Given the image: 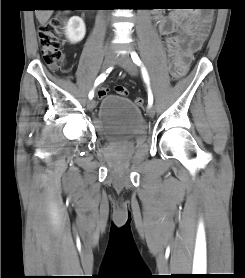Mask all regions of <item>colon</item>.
I'll use <instances>...</instances> for the list:
<instances>
[{"label": "colon", "instance_id": "5ec220e1", "mask_svg": "<svg viewBox=\"0 0 245 278\" xmlns=\"http://www.w3.org/2000/svg\"><path fill=\"white\" fill-rule=\"evenodd\" d=\"M195 7L200 8L206 12L211 10V8H214L210 3V0H202V2L195 5ZM205 19L206 23L203 25V28L208 30V17ZM62 26V18L60 16H55L48 23L40 27L38 32V39L43 61L53 70H58L64 61V55L61 51V42L59 38V31ZM170 73L173 78H179L181 76V72L175 66H171ZM115 91L119 96L123 97L128 94V90L125 87H116ZM107 93V89H101L99 91V95H105ZM134 102L138 107H141L144 104V99L143 97L138 96L135 98Z\"/></svg>", "mask_w": 245, "mask_h": 278}]
</instances>
